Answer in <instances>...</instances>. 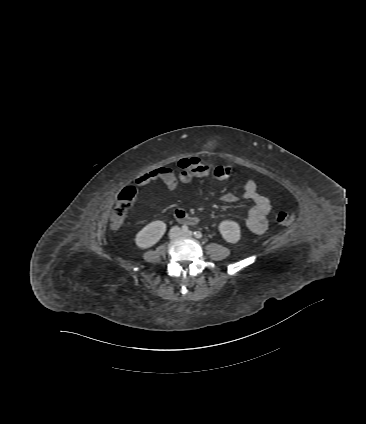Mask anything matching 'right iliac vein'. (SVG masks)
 Masks as SVG:
<instances>
[{
    "mask_svg": "<svg viewBox=\"0 0 366 424\" xmlns=\"http://www.w3.org/2000/svg\"><path fill=\"white\" fill-rule=\"evenodd\" d=\"M181 235V231L179 228H173L170 232V238H175Z\"/></svg>",
    "mask_w": 366,
    "mask_h": 424,
    "instance_id": "right-iliac-vein-1",
    "label": "right iliac vein"
}]
</instances>
